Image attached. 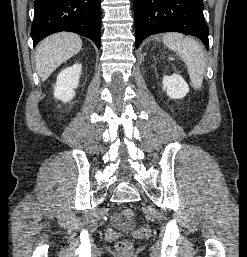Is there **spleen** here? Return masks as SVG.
I'll return each mask as SVG.
<instances>
[{
	"label": "spleen",
	"mask_w": 247,
	"mask_h": 257,
	"mask_svg": "<svg viewBox=\"0 0 247 257\" xmlns=\"http://www.w3.org/2000/svg\"><path fill=\"white\" fill-rule=\"evenodd\" d=\"M166 47L176 52L187 66L194 88L199 89L203 82L206 61L202 47L191 37L179 33H167L163 36Z\"/></svg>",
	"instance_id": "spleen-1"
}]
</instances>
